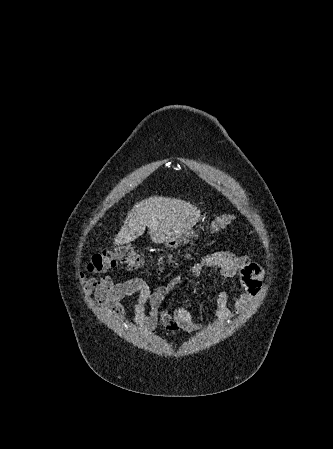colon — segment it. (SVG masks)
<instances>
[{"instance_id":"1","label":"colon","mask_w":333,"mask_h":449,"mask_svg":"<svg viewBox=\"0 0 333 449\" xmlns=\"http://www.w3.org/2000/svg\"><path fill=\"white\" fill-rule=\"evenodd\" d=\"M234 218L235 217L232 214H225L218 217L211 224L210 233H217L224 229L231 224ZM168 259L172 260V256H168ZM119 264L134 270L143 267L144 259L133 247L122 245L113 250L104 251L94 255L88 265V269L94 272H106Z\"/></svg>"}]
</instances>
